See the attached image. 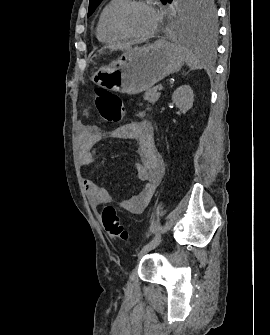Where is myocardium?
Segmentation results:
<instances>
[{"mask_svg": "<svg viewBox=\"0 0 270 335\" xmlns=\"http://www.w3.org/2000/svg\"><path fill=\"white\" fill-rule=\"evenodd\" d=\"M132 7H145V6L140 1H130V2L124 3L118 9H116L115 12L113 13L112 18H111L112 27L117 34L121 35L124 38H129V39L146 38L150 35V31L146 34L137 35V34H133L129 32L124 26V16L127 13V11L131 9ZM139 78H150V77H139Z\"/></svg>", "mask_w": 270, "mask_h": 335, "instance_id": "obj_1", "label": "myocardium"}]
</instances>
